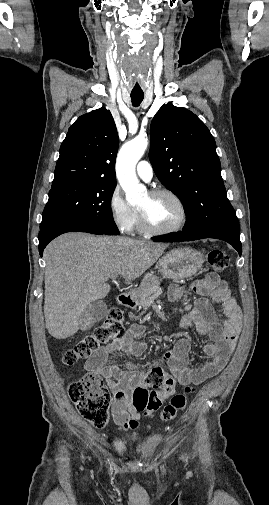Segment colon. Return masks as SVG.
Here are the masks:
<instances>
[{
	"mask_svg": "<svg viewBox=\"0 0 269 505\" xmlns=\"http://www.w3.org/2000/svg\"><path fill=\"white\" fill-rule=\"evenodd\" d=\"M208 262L214 270L223 271L228 267L229 258L224 251L213 249L208 254ZM123 334L122 312L117 308H111L99 326L64 353L62 362L66 366H73L80 359L93 356L104 344ZM175 386L174 377L160 367H154L143 376L134 389L133 405L139 412L151 415L161 407L163 399L171 397L163 409L162 418L165 421H172L185 409L187 393L191 391L190 387H186L185 393L175 394ZM68 393L85 420L96 428L105 427L109 418L110 395L99 376L88 374L72 382Z\"/></svg>",
	"mask_w": 269,
	"mask_h": 505,
	"instance_id": "5ec220e1",
	"label": "colon"
}]
</instances>
